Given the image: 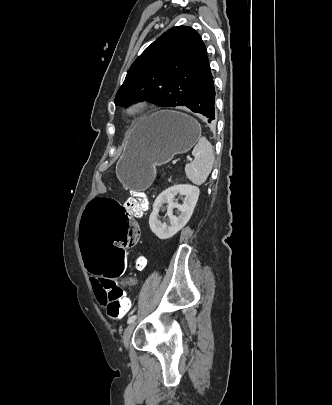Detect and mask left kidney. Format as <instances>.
Segmentation results:
<instances>
[{"mask_svg": "<svg viewBox=\"0 0 332 405\" xmlns=\"http://www.w3.org/2000/svg\"><path fill=\"white\" fill-rule=\"evenodd\" d=\"M199 193L198 187L189 184L174 185L164 190L153 204V211L149 217L151 231L161 240L174 236L190 220L198 201ZM177 194L185 196L182 205L175 202V195ZM164 203L168 204L167 216L169 218V225L158 218L160 208ZM175 208L180 211L178 217L173 215Z\"/></svg>", "mask_w": 332, "mask_h": 405, "instance_id": "1", "label": "left kidney"}]
</instances>
